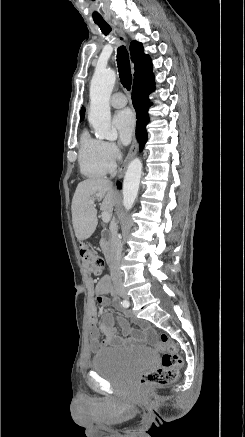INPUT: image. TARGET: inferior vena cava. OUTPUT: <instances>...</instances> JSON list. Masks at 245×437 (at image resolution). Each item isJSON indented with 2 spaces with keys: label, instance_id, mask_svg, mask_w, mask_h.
Segmentation results:
<instances>
[{
  "label": "inferior vena cava",
  "instance_id": "obj_1",
  "mask_svg": "<svg viewBox=\"0 0 245 437\" xmlns=\"http://www.w3.org/2000/svg\"><path fill=\"white\" fill-rule=\"evenodd\" d=\"M112 232L110 240V260L109 269L110 275L114 286L122 284V273L120 269V262L122 257V243L118 235L116 224Z\"/></svg>",
  "mask_w": 245,
  "mask_h": 437
}]
</instances>
